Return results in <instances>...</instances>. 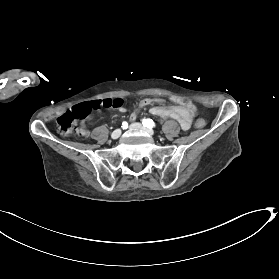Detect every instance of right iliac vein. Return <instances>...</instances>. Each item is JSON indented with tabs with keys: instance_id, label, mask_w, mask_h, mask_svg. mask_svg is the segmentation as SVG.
<instances>
[{
	"instance_id": "1",
	"label": "right iliac vein",
	"mask_w": 279,
	"mask_h": 279,
	"mask_svg": "<svg viewBox=\"0 0 279 279\" xmlns=\"http://www.w3.org/2000/svg\"><path fill=\"white\" fill-rule=\"evenodd\" d=\"M120 135H121V130H120V129H116V130H114V131L112 132L111 138H112V139H117V138L120 137Z\"/></svg>"
}]
</instances>
